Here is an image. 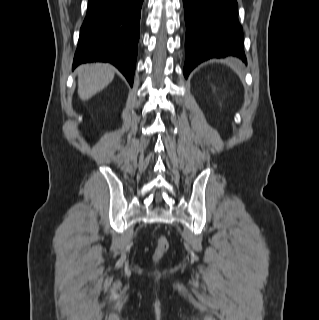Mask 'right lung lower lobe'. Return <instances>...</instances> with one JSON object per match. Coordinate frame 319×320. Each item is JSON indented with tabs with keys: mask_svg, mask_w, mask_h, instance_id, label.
Instances as JSON below:
<instances>
[{
	"mask_svg": "<svg viewBox=\"0 0 319 320\" xmlns=\"http://www.w3.org/2000/svg\"><path fill=\"white\" fill-rule=\"evenodd\" d=\"M143 0H88L73 68L110 62L133 84Z\"/></svg>",
	"mask_w": 319,
	"mask_h": 320,
	"instance_id": "right-lung-lower-lobe-1",
	"label": "right lung lower lobe"
}]
</instances>
